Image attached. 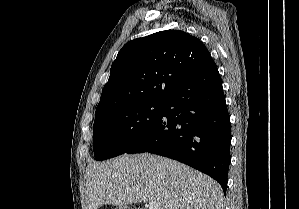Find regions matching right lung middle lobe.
I'll return each instance as SVG.
<instances>
[{
	"label": "right lung middle lobe",
	"mask_w": 299,
	"mask_h": 209,
	"mask_svg": "<svg viewBox=\"0 0 299 209\" xmlns=\"http://www.w3.org/2000/svg\"><path fill=\"white\" fill-rule=\"evenodd\" d=\"M164 102H142L118 106L95 116L93 147L95 160L125 153L161 116Z\"/></svg>",
	"instance_id": "dd1d6c3e"
}]
</instances>
